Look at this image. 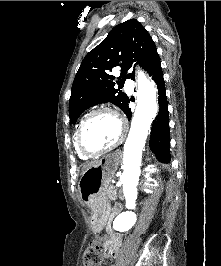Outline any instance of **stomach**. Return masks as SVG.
Segmentation results:
<instances>
[{"mask_svg":"<svg viewBox=\"0 0 221 266\" xmlns=\"http://www.w3.org/2000/svg\"><path fill=\"white\" fill-rule=\"evenodd\" d=\"M119 162L120 157L117 153L105 155L80 177L78 192L83 203L91 208V225L93 229H97L100 224L105 222L109 207V203L106 200V190Z\"/></svg>","mask_w":221,"mask_h":266,"instance_id":"0dacf381","label":"stomach"}]
</instances>
